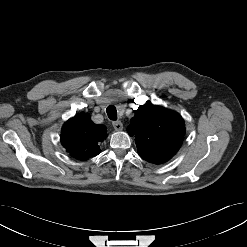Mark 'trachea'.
I'll list each match as a JSON object with an SVG mask.
<instances>
[{
  "mask_svg": "<svg viewBox=\"0 0 247 247\" xmlns=\"http://www.w3.org/2000/svg\"><path fill=\"white\" fill-rule=\"evenodd\" d=\"M106 112H107L109 119L117 120V110H116L115 106H113V105L108 106L106 109Z\"/></svg>",
  "mask_w": 247,
  "mask_h": 247,
  "instance_id": "obj_1",
  "label": "trachea"
}]
</instances>
